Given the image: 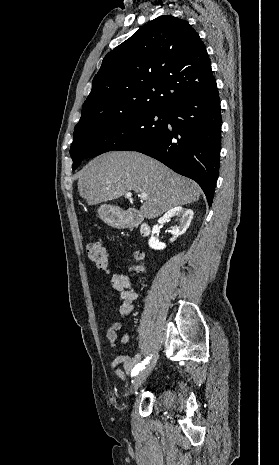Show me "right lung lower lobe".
I'll return each mask as SVG.
<instances>
[{
	"label": "right lung lower lobe",
	"mask_w": 279,
	"mask_h": 465,
	"mask_svg": "<svg viewBox=\"0 0 279 465\" xmlns=\"http://www.w3.org/2000/svg\"><path fill=\"white\" fill-rule=\"evenodd\" d=\"M167 123L152 142L128 146L196 181L211 206L219 174L221 108L215 79L202 91L166 109Z\"/></svg>",
	"instance_id": "1"
}]
</instances>
